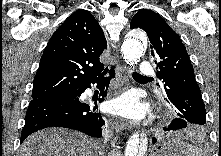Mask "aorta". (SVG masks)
Segmentation results:
<instances>
[{"label": "aorta", "instance_id": "aorta-1", "mask_svg": "<svg viewBox=\"0 0 221 156\" xmlns=\"http://www.w3.org/2000/svg\"><path fill=\"white\" fill-rule=\"evenodd\" d=\"M146 35L140 30L130 31L121 48L122 56L126 63L134 65L143 55ZM148 139L139 132L133 133L127 141L125 148V156H143L147 150Z\"/></svg>", "mask_w": 221, "mask_h": 156}]
</instances>
